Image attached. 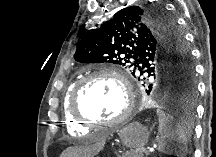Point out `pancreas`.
<instances>
[{"mask_svg": "<svg viewBox=\"0 0 216 157\" xmlns=\"http://www.w3.org/2000/svg\"><path fill=\"white\" fill-rule=\"evenodd\" d=\"M146 154V156L149 154V152H147L146 150H144L143 148H138L136 150H133L130 153L126 154V157H144V154Z\"/></svg>", "mask_w": 216, "mask_h": 157, "instance_id": "cf45deb5", "label": "pancreas"}]
</instances>
